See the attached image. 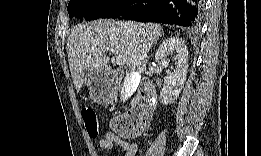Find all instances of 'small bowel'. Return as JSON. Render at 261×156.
Returning <instances> with one entry per match:
<instances>
[{
	"label": "small bowel",
	"mask_w": 261,
	"mask_h": 156,
	"mask_svg": "<svg viewBox=\"0 0 261 156\" xmlns=\"http://www.w3.org/2000/svg\"><path fill=\"white\" fill-rule=\"evenodd\" d=\"M99 147L104 150L119 149L126 156H134L137 151L136 143H127L111 132L106 133L105 137L99 140Z\"/></svg>",
	"instance_id": "c3829d8e"
}]
</instances>
